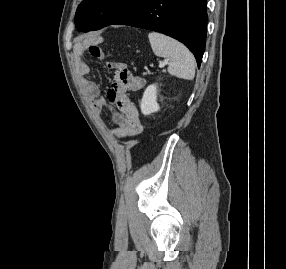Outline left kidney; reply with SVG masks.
Listing matches in <instances>:
<instances>
[{
  "mask_svg": "<svg viewBox=\"0 0 286 269\" xmlns=\"http://www.w3.org/2000/svg\"><path fill=\"white\" fill-rule=\"evenodd\" d=\"M141 112L144 115H149L151 113L157 112L160 107L157 103V86L156 84L149 85L144 91L141 104Z\"/></svg>",
  "mask_w": 286,
  "mask_h": 269,
  "instance_id": "left-kidney-1",
  "label": "left kidney"
}]
</instances>
